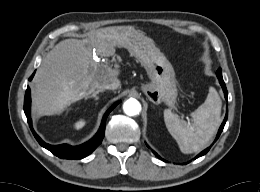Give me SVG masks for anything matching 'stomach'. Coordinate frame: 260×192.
<instances>
[{
	"mask_svg": "<svg viewBox=\"0 0 260 192\" xmlns=\"http://www.w3.org/2000/svg\"><path fill=\"white\" fill-rule=\"evenodd\" d=\"M111 36L116 46L126 48L145 68L150 82L141 89L147 98L154 104L164 102L173 107L178 95L175 72L153 40L131 27L115 28Z\"/></svg>",
	"mask_w": 260,
	"mask_h": 192,
	"instance_id": "1",
	"label": "stomach"
}]
</instances>
